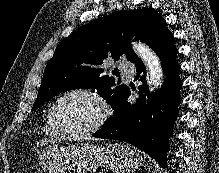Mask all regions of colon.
Segmentation results:
<instances>
[{"instance_id": "5ec220e1", "label": "colon", "mask_w": 219, "mask_h": 173, "mask_svg": "<svg viewBox=\"0 0 219 173\" xmlns=\"http://www.w3.org/2000/svg\"><path fill=\"white\" fill-rule=\"evenodd\" d=\"M26 173H39V171L36 168H29Z\"/></svg>"}]
</instances>
